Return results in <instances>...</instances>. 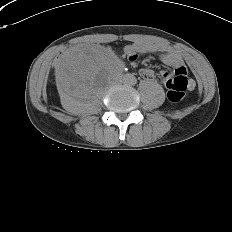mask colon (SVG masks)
<instances>
[{
  "mask_svg": "<svg viewBox=\"0 0 232 232\" xmlns=\"http://www.w3.org/2000/svg\"><path fill=\"white\" fill-rule=\"evenodd\" d=\"M164 83L168 88V97L173 102L183 99L185 91L190 88L189 78L183 74H175L165 78Z\"/></svg>",
  "mask_w": 232,
  "mask_h": 232,
  "instance_id": "5ec220e1",
  "label": "colon"
}]
</instances>
